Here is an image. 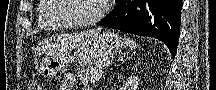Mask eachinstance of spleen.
I'll use <instances>...</instances> for the list:
<instances>
[{"label":"spleen","instance_id":"3e777b00","mask_svg":"<svg viewBox=\"0 0 216 90\" xmlns=\"http://www.w3.org/2000/svg\"><path fill=\"white\" fill-rule=\"evenodd\" d=\"M127 46H129L130 50H135L136 42L134 40H130V38H126Z\"/></svg>","mask_w":216,"mask_h":90}]
</instances>
